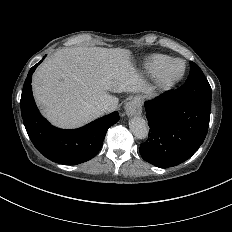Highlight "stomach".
Returning <instances> with one entry per match:
<instances>
[{
    "label": "stomach",
    "instance_id": "1",
    "mask_svg": "<svg viewBox=\"0 0 232 232\" xmlns=\"http://www.w3.org/2000/svg\"><path fill=\"white\" fill-rule=\"evenodd\" d=\"M148 98L149 96H146V95H138V96H135L133 100L136 101V103H138L141 106L144 100Z\"/></svg>",
    "mask_w": 232,
    "mask_h": 232
}]
</instances>
